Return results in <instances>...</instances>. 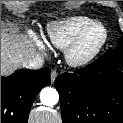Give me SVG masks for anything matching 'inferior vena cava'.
Wrapping results in <instances>:
<instances>
[{
    "instance_id": "inferior-vena-cava-1",
    "label": "inferior vena cava",
    "mask_w": 123,
    "mask_h": 123,
    "mask_svg": "<svg viewBox=\"0 0 123 123\" xmlns=\"http://www.w3.org/2000/svg\"><path fill=\"white\" fill-rule=\"evenodd\" d=\"M43 64L44 58L41 55L37 54L28 61H24L22 65L27 69L37 70L42 68Z\"/></svg>"
}]
</instances>
